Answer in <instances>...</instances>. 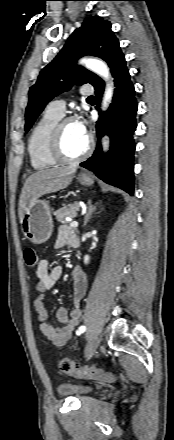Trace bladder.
<instances>
[{
	"mask_svg": "<svg viewBox=\"0 0 174 440\" xmlns=\"http://www.w3.org/2000/svg\"><path fill=\"white\" fill-rule=\"evenodd\" d=\"M57 390L61 395L85 396L93 392L94 387L88 384L62 383L58 385Z\"/></svg>",
	"mask_w": 174,
	"mask_h": 440,
	"instance_id": "1",
	"label": "bladder"
}]
</instances>
